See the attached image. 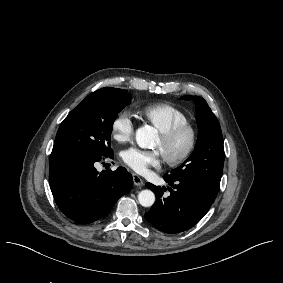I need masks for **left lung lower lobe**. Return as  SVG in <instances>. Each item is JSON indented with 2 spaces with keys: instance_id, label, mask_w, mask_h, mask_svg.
<instances>
[{
  "instance_id": "0a47b994",
  "label": "left lung lower lobe",
  "mask_w": 283,
  "mask_h": 283,
  "mask_svg": "<svg viewBox=\"0 0 283 283\" xmlns=\"http://www.w3.org/2000/svg\"><path fill=\"white\" fill-rule=\"evenodd\" d=\"M170 195H164L165 187L147 183L156 195V202L145 213L146 220L162 232L174 234L193 227L209 210L216 196H213L194 182L173 181L164 175Z\"/></svg>"
}]
</instances>
